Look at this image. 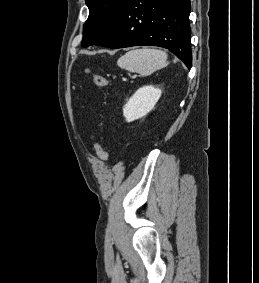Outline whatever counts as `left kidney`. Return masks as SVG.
<instances>
[{
	"mask_svg": "<svg viewBox=\"0 0 259 283\" xmlns=\"http://www.w3.org/2000/svg\"><path fill=\"white\" fill-rule=\"evenodd\" d=\"M161 93L160 89L152 85L139 88L123 108L126 121L132 122L146 116L158 102Z\"/></svg>",
	"mask_w": 259,
	"mask_h": 283,
	"instance_id": "obj_1",
	"label": "left kidney"
}]
</instances>
